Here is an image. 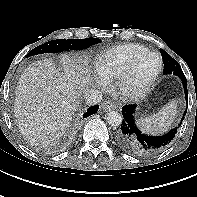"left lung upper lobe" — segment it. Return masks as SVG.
Instances as JSON below:
<instances>
[{
	"mask_svg": "<svg viewBox=\"0 0 197 197\" xmlns=\"http://www.w3.org/2000/svg\"><path fill=\"white\" fill-rule=\"evenodd\" d=\"M162 59L164 62L163 74H174L180 79L185 78V75L176 60H174L166 51L161 50Z\"/></svg>",
	"mask_w": 197,
	"mask_h": 197,
	"instance_id": "1",
	"label": "left lung upper lobe"
}]
</instances>
